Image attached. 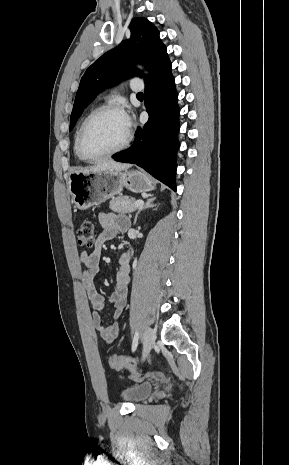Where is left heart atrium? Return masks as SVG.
Segmentation results:
<instances>
[{
	"instance_id": "1",
	"label": "left heart atrium",
	"mask_w": 289,
	"mask_h": 465,
	"mask_svg": "<svg viewBox=\"0 0 289 465\" xmlns=\"http://www.w3.org/2000/svg\"><path fill=\"white\" fill-rule=\"evenodd\" d=\"M121 115H122V117L124 119V122H125L126 126L129 128L130 125H131V117H130L129 112L126 111V110H121Z\"/></svg>"
}]
</instances>
